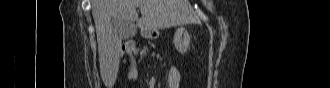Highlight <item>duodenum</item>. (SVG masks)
<instances>
[{"label": "duodenum", "instance_id": "1", "mask_svg": "<svg viewBox=\"0 0 330 88\" xmlns=\"http://www.w3.org/2000/svg\"><path fill=\"white\" fill-rule=\"evenodd\" d=\"M126 49H127L130 53H132V51L134 50V45L131 44V43H128V45L126 46Z\"/></svg>", "mask_w": 330, "mask_h": 88}]
</instances>
